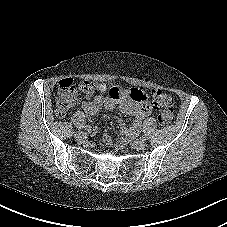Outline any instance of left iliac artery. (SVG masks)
Masks as SVG:
<instances>
[{"mask_svg": "<svg viewBox=\"0 0 227 227\" xmlns=\"http://www.w3.org/2000/svg\"><path fill=\"white\" fill-rule=\"evenodd\" d=\"M142 139H144V140H148V139H149V137H148V135H147L146 133H144V134L142 135Z\"/></svg>", "mask_w": 227, "mask_h": 227, "instance_id": "1", "label": "left iliac artery"}]
</instances>
